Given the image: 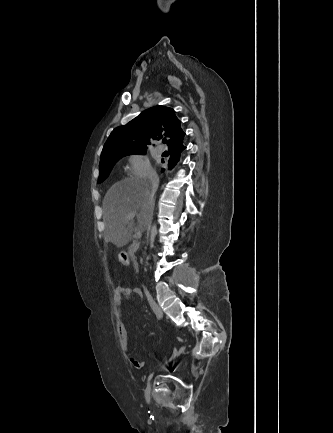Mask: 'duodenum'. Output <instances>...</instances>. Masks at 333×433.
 Masks as SVG:
<instances>
[{
	"instance_id": "1",
	"label": "duodenum",
	"mask_w": 333,
	"mask_h": 433,
	"mask_svg": "<svg viewBox=\"0 0 333 433\" xmlns=\"http://www.w3.org/2000/svg\"><path fill=\"white\" fill-rule=\"evenodd\" d=\"M135 245H136V242H135V241H132V242L129 244V247H128V255H129L130 258H132L133 268H138L137 258H133V257H134V249H135Z\"/></svg>"
}]
</instances>
